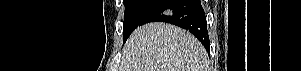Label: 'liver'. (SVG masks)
Instances as JSON below:
<instances>
[{"instance_id":"1","label":"liver","mask_w":301,"mask_h":71,"mask_svg":"<svg viewBox=\"0 0 301 71\" xmlns=\"http://www.w3.org/2000/svg\"><path fill=\"white\" fill-rule=\"evenodd\" d=\"M209 59L189 32L166 23L138 27L123 48L121 71H208Z\"/></svg>"}]
</instances>
